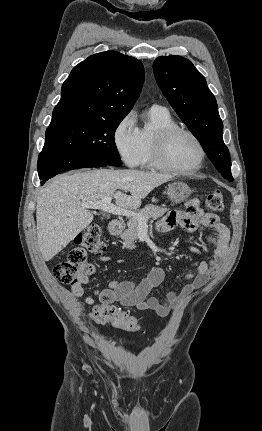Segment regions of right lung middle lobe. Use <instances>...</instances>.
Wrapping results in <instances>:
<instances>
[{
    "label": "right lung middle lobe",
    "mask_w": 262,
    "mask_h": 431,
    "mask_svg": "<svg viewBox=\"0 0 262 431\" xmlns=\"http://www.w3.org/2000/svg\"><path fill=\"white\" fill-rule=\"evenodd\" d=\"M122 120L82 119L50 125L42 152L79 155L120 166L114 133Z\"/></svg>",
    "instance_id": "1"
}]
</instances>
